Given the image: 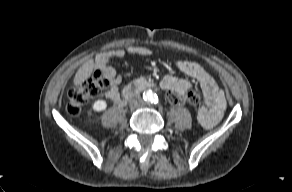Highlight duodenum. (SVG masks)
Masks as SVG:
<instances>
[{
  "mask_svg": "<svg viewBox=\"0 0 292 192\" xmlns=\"http://www.w3.org/2000/svg\"><path fill=\"white\" fill-rule=\"evenodd\" d=\"M152 86V83L145 79H137L130 83L124 90L122 102H126L129 98L139 94L143 90Z\"/></svg>",
  "mask_w": 292,
  "mask_h": 192,
  "instance_id": "duodenum-1",
  "label": "duodenum"
}]
</instances>
